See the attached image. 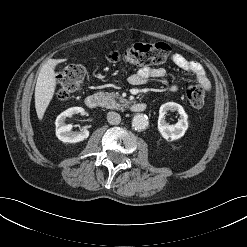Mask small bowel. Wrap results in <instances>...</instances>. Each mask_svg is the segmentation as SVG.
Returning a JSON list of instances; mask_svg holds the SVG:
<instances>
[{
	"mask_svg": "<svg viewBox=\"0 0 247 247\" xmlns=\"http://www.w3.org/2000/svg\"><path fill=\"white\" fill-rule=\"evenodd\" d=\"M172 60L178 68L190 75L191 78L205 91L209 92L211 90L210 80L208 79L203 66L199 62L188 60L180 53L173 54ZM165 75L166 71L164 68L143 67L129 76V82L133 85H141L149 79H161L165 77ZM171 89L175 90L176 86L172 85Z\"/></svg>",
	"mask_w": 247,
	"mask_h": 247,
	"instance_id": "1",
	"label": "small bowel"
}]
</instances>
